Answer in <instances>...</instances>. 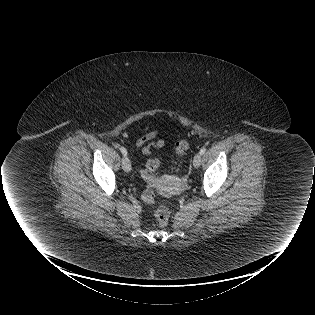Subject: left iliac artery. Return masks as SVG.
<instances>
[{
    "mask_svg": "<svg viewBox=\"0 0 315 315\" xmlns=\"http://www.w3.org/2000/svg\"><path fill=\"white\" fill-rule=\"evenodd\" d=\"M205 151H206V147H202V148L200 149V152H199V153H200L201 155H203V154L205 153Z\"/></svg>",
    "mask_w": 315,
    "mask_h": 315,
    "instance_id": "1",
    "label": "left iliac artery"
}]
</instances>
